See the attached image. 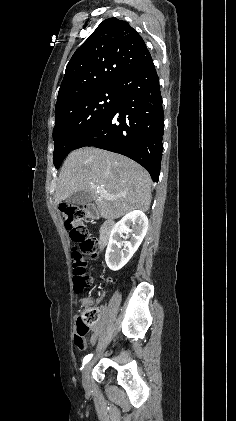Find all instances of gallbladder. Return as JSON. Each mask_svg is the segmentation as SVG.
Masks as SVG:
<instances>
[{
  "instance_id": "bac80fb5",
  "label": "gallbladder",
  "mask_w": 236,
  "mask_h": 421,
  "mask_svg": "<svg viewBox=\"0 0 236 421\" xmlns=\"http://www.w3.org/2000/svg\"><path fill=\"white\" fill-rule=\"evenodd\" d=\"M89 200H91L90 194L86 190H77V192H73L71 196L65 198V202H68V204H84V202H89Z\"/></svg>"
}]
</instances>
